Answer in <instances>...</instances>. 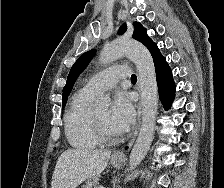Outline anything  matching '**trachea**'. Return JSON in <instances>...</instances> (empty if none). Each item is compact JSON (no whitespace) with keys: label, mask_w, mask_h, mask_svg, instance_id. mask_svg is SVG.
Returning <instances> with one entry per match:
<instances>
[{"label":"trachea","mask_w":224,"mask_h":188,"mask_svg":"<svg viewBox=\"0 0 224 188\" xmlns=\"http://www.w3.org/2000/svg\"><path fill=\"white\" fill-rule=\"evenodd\" d=\"M131 81H132V82H136V75H135V74H132V75H131Z\"/></svg>","instance_id":"1"}]
</instances>
